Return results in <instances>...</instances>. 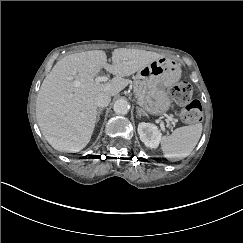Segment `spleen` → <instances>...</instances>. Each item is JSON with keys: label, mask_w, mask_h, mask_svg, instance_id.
Masks as SVG:
<instances>
[{"label": "spleen", "mask_w": 243, "mask_h": 243, "mask_svg": "<svg viewBox=\"0 0 243 243\" xmlns=\"http://www.w3.org/2000/svg\"><path fill=\"white\" fill-rule=\"evenodd\" d=\"M202 134V123L182 126L170 136H163L160 141L165 157H187L197 145Z\"/></svg>", "instance_id": "3e777b00"}]
</instances>
